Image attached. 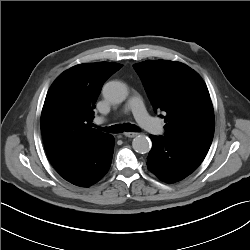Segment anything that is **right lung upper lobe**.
Segmentation results:
<instances>
[{
	"mask_svg": "<svg viewBox=\"0 0 250 250\" xmlns=\"http://www.w3.org/2000/svg\"><path fill=\"white\" fill-rule=\"evenodd\" d=\"M121 67L113 62L79 64L53 82L40 125L47 156L55 169L110 135L91 128L92 114L104 82Z\"/></svg>",
	"mask_w": 250,
	"mask_h": 250,
	"instance_id": "cb5924a9",
	"label": "right lung upper lobe"
}]
</instances>
